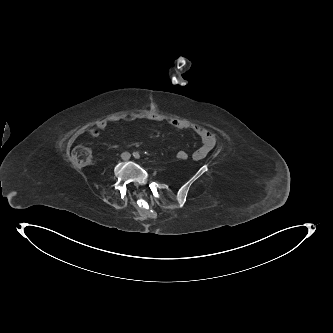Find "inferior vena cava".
Here are the masks:
<instances>
[{
	"label": "inferior vena cava",
	"mask_w": 333,
	"mask_h": 333,
	"mask_svg": "<svg viewBox=\"0 0 333 333\" xmlns=\"http://www.w3.org/2000/svg\"><path fill=\"white\" fill-rule=\"evenodd\" d=\"M122 157L124 160H128L131 157V154L129 152H124Z\"/></svg>",
	"instance_id": "obj_1"
}]
</instances>
